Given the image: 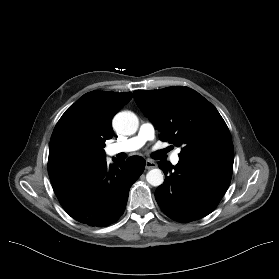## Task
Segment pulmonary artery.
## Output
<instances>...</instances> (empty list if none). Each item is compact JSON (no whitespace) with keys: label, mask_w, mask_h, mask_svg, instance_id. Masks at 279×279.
<instances>
[{"label":"pulmonary artery","mask_w":279,"mask_h":279,"mask_svg":"<svg viewBox=\"0 0 279 279\" xmlns=\"http://www.w3.org/2000/svg\"><path fill=\"white\" fill-rule=\"evenodd\" d=\"M155 136V128L154 125L150 122H144L139 132L133 136L130 137L124 141L116 142L107 147V153L109 155H116L118 153H128L133 152L141 147L144 146V144L147 141L153 140ZM180 160V149L175 150L171 156L170 161L173 165L178 164Z\"/></svg>","instance_id":"obj_1"}]
</instances>
